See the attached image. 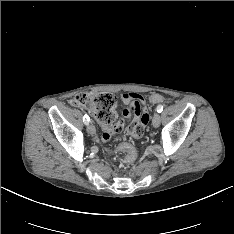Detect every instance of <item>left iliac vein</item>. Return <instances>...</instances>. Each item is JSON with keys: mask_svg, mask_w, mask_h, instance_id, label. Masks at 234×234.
I'll use <instances>...</instances> for the list:
<instances>
[{"mask_svg": "<svg viewBox=\"0 0 234 234\" xmlns=\"http://www.w3.org/2000/svg\"><path fill=\"white\" fill-rule=\"evenodd\" d=\"M161 122V116L159 113H155L152 119V124L155 128H158Z\"/></svg>", "mask_w": 234, "mask_h": 234, "instance_id": "4c4485c4", "label": "left iliac vein"}]
</instances>
